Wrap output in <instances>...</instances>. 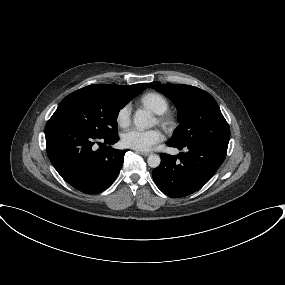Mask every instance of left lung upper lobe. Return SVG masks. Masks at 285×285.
Returning <instances> with one entry per match:
<instances>
[{
    "mask_svg": "<svg viewBox=\"0 0 285 285\" xmlns=\"http://www.w3.org/2000/svg\"><path fill=\"white\" fill-rule=\"evenodd\" d=\"M176 105L180 126L169 143L185 146L193 142L228 145L230 128L216 100L206 91L183 84H152Z\"/></svg>",
    "mask_w": 285,
    "mask_h": 285,
    "instance_id": "obj_1",
    "label": "left lung upper lobe"
}]
</instances>
